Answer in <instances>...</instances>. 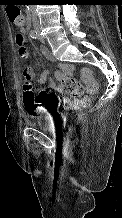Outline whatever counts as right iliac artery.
I'll return each instance as SVG.
<instances>
[{"instance_id": "obj_1", "label": "right iliac artery", "mask_w": 122, "mask_h": 218, "mask_svg": "<svg viewBox=\"0 0 122 218\" xmlns=\"http://www.w3.org/2000/svg\"><path fill=\"white\" fill-rule=\"evenodd\" d=\"M37 36H38V35H37V32H36V31L32 30V31L30 32V37H31V38L36 39Z\"/></svg>"}]
</instances>
